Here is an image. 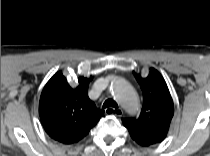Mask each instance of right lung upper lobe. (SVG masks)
I'll list each match as a JSON object with an SVG mask.
<instances>
[{
  "instance_id": "right-lung-upper-lobe-1",
  "label": "right lung upper lobe",
  "mask_w": 210,
  "mask_h": 156,
  "mask_svg": "<svg viewBox=\"0 0 210 156\" xmlns=\"http://www.w3.org/2000/svg\"><path fill=\"white\" fill-rule=\"evenodd\" d=\"M91 79L80 77L71 87L62 72L55 73L45 85L39 102V115L46 133L63 144L80 141L97 124L104 111L89 99Z\"/></svg>"
}]
</instances>
